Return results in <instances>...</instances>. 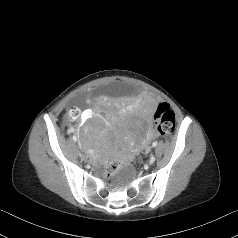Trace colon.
<instances>
[{
  "label": "colon",
  "instance_id": "1",
  "mask_svg": "<svg viewBox=\"0 0 238 238\" xmlns=\"http://www.w3.org/2000/svg\"><path fill=\"white\" fill-rule=\"evenodd\" d=\"M80 116V111L76 108H73L70 111V117L76 119ZM154 119L157 125V129L160 135H168L173 132L175 127V114L171 110L168 104L160 103L157 106V109L154 114ZM128 162L125 160H111L105 166L104 176L106 178H111L113 173H115L120 168L127 165Z\"/></svg>",
  "mask_w": 238,
  "mask_h": 238
}]
</instances>
